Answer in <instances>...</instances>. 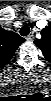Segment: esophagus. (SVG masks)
Masks as SVG:
<instances>
[{
	"label": "esophagus",
	"instance_id": "esophagus-1",
	"mask_svg": "<svg viewBox=\"0 0 51 101\" xmlns=\"http://www.w3.org/2000/svg\"><path fill=\"white\" fill-rule=\"evenodd\" d=\"M34 39V35L33 34H29L27 37H26V40L27 41H32Z\"/></svg>",
	"mask_w": 51,
	"mask_h": 101
}]
</instances>
